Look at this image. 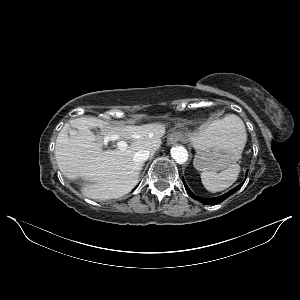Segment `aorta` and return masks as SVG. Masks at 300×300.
Masks as SVG:
<instances>
[{"instance_id": "aorta-1", "label": "aorta", "mask_w": 300, "mask_h": 300, "mask_svg": "<svg viewBox=\"0 0 300 300\" xmlns=\"http://www.w3.org/2000/svg\"><path fill=\"white\" fill-rule=\"evenodd\" d=\"M171 157L178 164H184L188 160V151L183 146H175L171 149Z\"/></svg>"}]
</instances>
